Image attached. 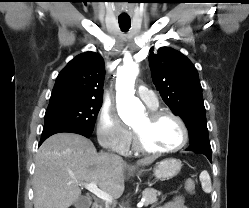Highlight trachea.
<instances>
[{"instance_id":"3493384b","label":"trachea","mask_w":249,"mask_h":208,"mask_svg":"<svg viewBox=\"0 0 249 208\" xmlns=\"http://www.w3.org/2000/svg\"><path fill=\"white\" fill-rule=\"evenodd\" d=\"M119 22V26H120V29L124 32L128 31L130 26H131V21L128 20V19H119L118 20Z\"/></svg>"}]
</instances>
